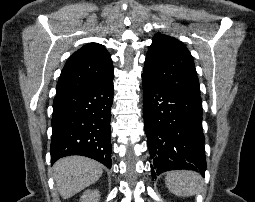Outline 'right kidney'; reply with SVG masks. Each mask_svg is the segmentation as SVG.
<instances>
[{"label":"right kidney","mask_w":255,"mask_h":202,"mask_svg":"<svg viewBox=\"0 0 255 202\" xmlns=\"http://www.w3.org/2000/svg\"><path fill=\"white\" fill-rule=\"evenodd\" d=\"M100 194L98 190H86L80 198L81 202H98Z\"/></svg>","instance_id":"ca27d5eb"}]
</instances>
